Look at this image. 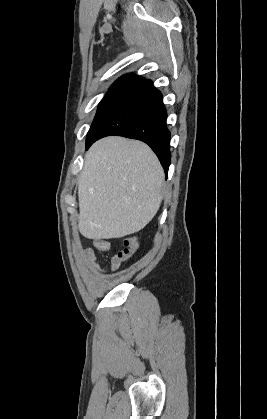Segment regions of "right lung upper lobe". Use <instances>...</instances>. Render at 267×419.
<instances>
[{
	"label": "right lung upper lobe",
	"mask_w": 267,
	"mask_h": 419,
	"mask_svg": "<svg viewBox=\"0 0 267 419\" xmlns=\"http://www.w3.org/2000/svg\"><path fill=\"white\" fill-rule=\"evenodd\" d=\"M146 79L141 78L140 76H134L133 74H126L122 77H120L111 87L110 92H124V93H130L134 91L136 88L141 86L143 83H145Z\"/></svg>",
	"instance_id": "1"
}]
</instances>
